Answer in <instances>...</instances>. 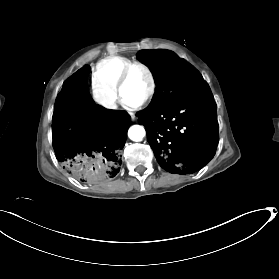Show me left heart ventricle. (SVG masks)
I'll list each match as a JSON object with an SVG mask.
<instances>
[{
  "instance_id": "left-heart-ventricle-1",
  "label": "left heart ventricle",
  "mask_w": 279,
  "mask_h": 279,
  "mask_svg": "<svg viewBox=\"0 0 279 279\" xmlns=\"http://www.w3.org/2000/svg\"><path fill=\"white\" fill-rule=\"evenodd\" d=\"M150 89V80L146 72L140 68H134L127 79L123 92L125 103L138 104L147 95Z\"/></svg>"
}]
</instances>
